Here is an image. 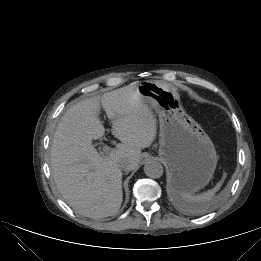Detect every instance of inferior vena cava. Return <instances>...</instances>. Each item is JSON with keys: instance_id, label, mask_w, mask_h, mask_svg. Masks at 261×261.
Instances as JSON below:
<instances>
[{"instance_id": "inferior-vena-cava-1", "label": "inferior vena cava", "mask_w": 261, "mask_h": 261, "mask_svg": "<svg viewBox=\"0 0 261 261\" xmlns=\"http://www.w3.org/2000/svg\"><path fill=\"white\" fill-rule=\"evenodd\" d=\"M120 168H121V170L127 171V170H131V169H132V166H131V164H130L129 162H127V161H122V162L120 163Z\"/></svg>"}]
</instances>
